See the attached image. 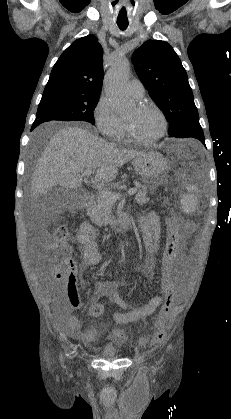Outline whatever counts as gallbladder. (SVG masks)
<instances>
[{
  "label": "gallbladder",
  "mask_w": 231,
  "mask_h": 419,
  "mask_svg": "<svg viewBox=\"0 0 231 419\" xmlns=\"http://www.w3.org/2000/svg\"><path fill=\"white\" fill-rule=\"evenodd\" d=\"M66 199V193L62 192L61 189L54 187L49 190L46 194L41 195L38 204L43 207L46 211L53 212L56 210L61 203Z\"/></svg>",
  "instance_id": "bac80fb5"
}]
</instances>
